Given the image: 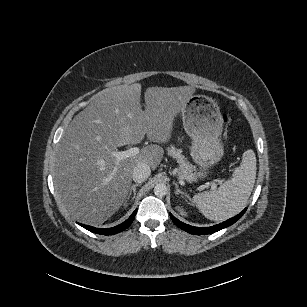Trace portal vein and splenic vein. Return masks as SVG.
<instances>
[{"label":"portal vein and splenic vein","instance_id":"18ae733b","mask_svg":"<svg viewBox=\"0 0 307 307\" xmlns=\"http://www.w3.org/2000/svg\"><path fill=\"white\" fill-rule=\"evenodd\" d=\"M139 148L138 147H132L128 150L125 151H114L112 154L113 156L116 158V164H119V162L124 159V158H129V157H133L137 154H139ZM112 177H108L106 178V181L109 182L111 180ZM209 186H211L212 190H216L217 188V184L215 182H207L204 185H201L199 187V190H204L205 188H208Z\"/></svg>","mask_w":307,"mask_h":307}]
</instances>
